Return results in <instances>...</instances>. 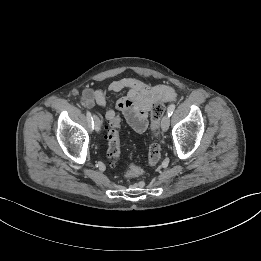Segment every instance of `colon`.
<instances>
[{"mask_svg":"<svg viewBox=\"0 0 261 261\" xmlns=\"http://www.w3.org/2000/svg\"><path fill=\"white\" fill-rule=\"evenodd\" d=\"M165 105L163 103H155L151 110L150 115V130L154 139L159 134L160 120L164 114ZM121 121L119 117H115L108 122L106 139L108 142V159L110 165H115L117 159L120 156V140H119V129ZM161 158V147L159 143L154 140L148 149V164L150 166L156 165ZM143 170L137 165H132L126 174L127 178H135L142 175Z\"/></svg>","mask_w":261,"mask_h":261,"instance_id":"obj_1","label":"colon"}]
</instances>
